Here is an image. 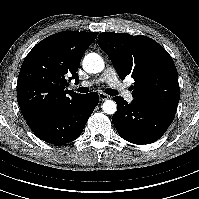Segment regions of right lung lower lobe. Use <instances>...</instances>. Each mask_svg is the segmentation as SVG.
<instances>
[{"instance_id":"obj_1","label":"right lung lower lobe","mask_w":199,"mask_h":199,"mask_svg":"<svg viewBox=\"0 0 199 199\" xmlns=\"http://www.w3.org/2000/svg\"><path fill=\"white\" fill-rule=\"evenodd\" d=\"M98 102V94L91 92L27 123L31 130L45 142L66 144L81 135Z\"/></svg>"}]
</instances>
